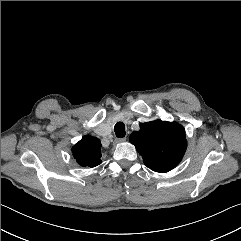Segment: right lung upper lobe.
<instances>
[{
  "instance_id": "cb5924a9",
  "label": "right lung upper lobe",
  "mask_w": 241,
  "mask_h": 241,
  "mask_svg": "<svg viewBox=\"0 0 241 241\" xmlns=\"http://www.w3.org/2000/svg\"><path fill=\"white\" fill-rule=\"evenodd\" d=\"M101 142L92 136H84L76 145L72 152L77 162L83 167H95L102 163Z\"/></svg>"
}]
</instances>
